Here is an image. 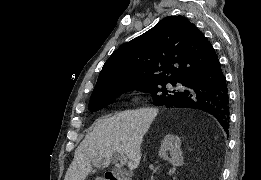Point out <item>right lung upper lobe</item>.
Instances as JSON below:
<instances>
[{
  "instance_id": "right-lung-upper-lobe-1",
  "label": "right lung upper lobe",
  "mask_w": 261,
  "mask_h": 180,
  "mask_svg": "<svg viewBox=\"0 0 261 180\" xmlns=\"http://www.w3.org/2000/svg\"><path fill=\"white\" fill-rule=\"evenodd\" d=\"M219 61L198 28L183 16H169L120 46L104 64L91 99L143 84L185 79Z\"/></svg>"
}]
</instances>
